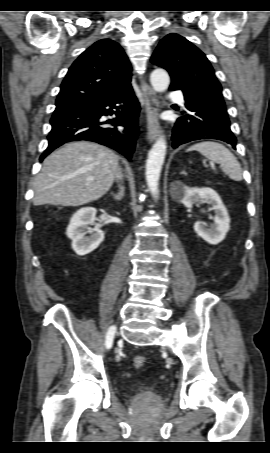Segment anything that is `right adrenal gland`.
<instances>
[{
  "instance_id": "right-adrenal-gland-1",
  "label": "right adrenal gland",
  "mask_w": 270,
  "mask_h": 453,
  "mask_svg": "<svg viewBox=\"0 0 270 453\" xmlns=\"http://www.w3.org/2000/svg\"><path fill=\"white\" fill-rule=\"evenodd\" d=\"M124 193H125V188L123 185L120 186V190L118 193H111V195L113 196V198L116 200V201H120L123 196H124Z\"/></svg>"
}]
</instances>
